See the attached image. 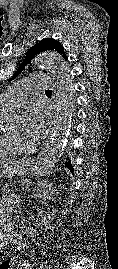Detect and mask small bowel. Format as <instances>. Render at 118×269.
<instances>
[{
    "mask_svg": "<svg viewBox=\"0 0 118 269\" xmlns=\"http://www.w3.org/2000/svg\"><path fill=\"white\" fill-rule=\"evenodd\" d=\"M10 210L9 205L0 204V248L5 249L13 246L17 249H24L27 244L26 239L13 231Z\"/></svg>",
    "mask_w": 118,
    "mask_h": 269,
    "instance_id": "c3829d8e",
    "label": "small bowel"
}]
</instances>
